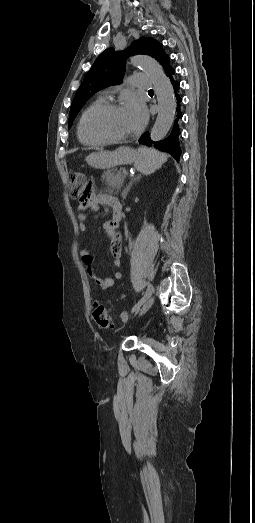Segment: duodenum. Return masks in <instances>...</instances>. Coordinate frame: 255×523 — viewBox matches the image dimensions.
<instances>
[{"mask_svg":"<svg viewBox=\"0 0 255 523\" xmlns=\"http://www.w3.org/2000/svg\"><path fill=\"white\" fill-rule=\"evenodd\" d=\"M107 204L112 209L113 221L118 223L122 218V204L118 199L113 197H108Z\"/></svg>","mask_w":255,"mask_h":523,"instance_id":"1","label":"duodenum"}]
</instances>
